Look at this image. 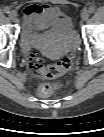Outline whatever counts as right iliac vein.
<instances>
[{"label":"right iliac vein","mask_w":104,"mask_h":137,"mask_svg":"<svg viewBox=\"0 0 104 137\" xmlns=\"http://www.w3.org/2000/svg\"><path fill=\"white\" fill-rule=\"evenodd\" d=\"M18 15H17V12L16 11H11L9 13V18L13 21H15L17 19Z\"/></svg>","instance_id":"63e3f726"}]
</instances>
